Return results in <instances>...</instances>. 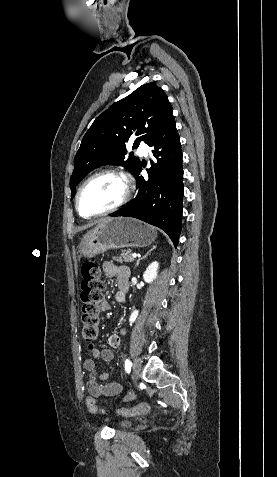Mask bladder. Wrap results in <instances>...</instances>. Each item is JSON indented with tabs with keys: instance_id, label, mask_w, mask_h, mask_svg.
<instances>
[{
	"instance_id": "31cf9c89",
	"label": "bladder",
	"mask_w": 277,
	"mask_h": 477,
	"mask_svg": "<svg viewBox=\"0 0 277 477\" xmlns=\"http://www.w3.org/2000/svg\"><path fill=\"white\" fill-rule=\"evenodd\" d=\"M132 425V422L129 420H122L119 422L121 428H129Z\"/></svg>"
}]
</instances>
